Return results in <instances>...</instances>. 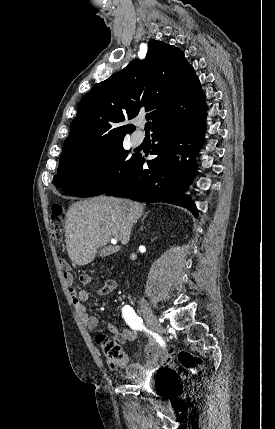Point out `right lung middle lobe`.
Returning a JSON list of instances; mask_svg holds the SVG:
<instances>
[{"label": "right lung middle lobe", "instance_id": "dd1d6c3e", "mask_svg": "<svg viewBox=\"0 0 275 429\" xmlns=\"http://www.w3.org/2000/svg\"><path fill=\"white\" fill-rule=\"evenodd\" d=\"M123 140L85 153L59 165L53 182L76 197L100 195L118 185L132 171L139 155L128 159Z\"/></svg>", "mask_w": 275, "mask_h": 429}]
</instances>
